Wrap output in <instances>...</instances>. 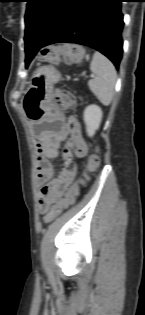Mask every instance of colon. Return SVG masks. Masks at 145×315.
I'll list each match as a JSON object with an SVG mask.
<instances>
[{
	"label": "colon",
	"mask_w": 145,
	"mask_h": 315,
	"mask_svg": "<svg viewBox=\"0 0 145 315\" xmlns=\"http://www.w3.org/2000/svg\"><path fill=\"white\" fill-rule=\"evenodd\" d=\"M83 57V50L78 46L62 45L44 48L40 53L41 60L49 63L77 62ZM54 103L61 109H69L73 106L74 98L71 93L66 90H56L53 95ZM100 164L97 153H92L88 160L87 171H95ZM78 193L77 185H74L62 199H60L48 213V221L61 215L68 207H70L76 199Z\"/></svg>",
	"instance_id": "1"
}]
</instances>
